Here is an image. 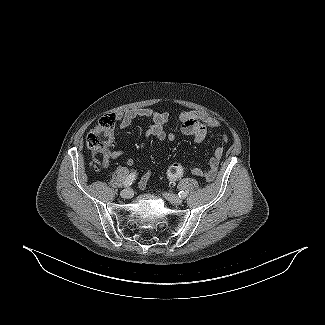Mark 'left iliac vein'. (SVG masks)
<instances>
[{
	"mask_svg": "<svg viewBox=\"0 0 325 325\" xmlns=\"http://www.w3.org/2000/svg\"><path fill=\"white\" fill-rule=\"evenodd\" d=\"M163 196L174 205H180L183 201L180 197L171 193H163Z\"/></svg>",
	"mask_w": 325,
	"mask_h": 325,
	"instance_id": "4c4485c4",
	"label": "left iliac vein"
}]
</instances>
